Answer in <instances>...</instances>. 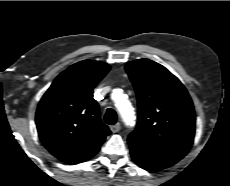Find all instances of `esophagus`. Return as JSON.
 Here are the masks:
<instances>
[{"instance_id": "obj_1", "label": "esophagus", "mask_w": 230, "mask_h": 186, "mask_svg": "<svg viewBox=\"0 0 230 186\" xmlns=\"http://www.w3.org/2000/svg\"><path fill=\"white\" fill-rule=\"evenodd\" d=\"M120 128H121V126H120L119 123L110 126V130H111L113 133H117V132L120 130Z\"/></svg>"}]
</instances>
